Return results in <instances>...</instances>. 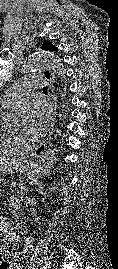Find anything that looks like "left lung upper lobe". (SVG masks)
Segmentation results:
<instances>
[{
    "instance_id": "obj_1",
    "label": "left lung upper lobe",
    "mask_w": 118,
    "mask_h": 269,
    "mask_svg": "<svg viewBox=\"0 0 118 269\" xmlns=\"http://www.w3.org/2000/svg\"><path fill=\"white\" fill-rule=\"evenodd\" d=\"M41 48L43 50H49V51H57L58 50V48H56L50 41H45L42 44Z\"/></svg>"
}]
</instances>
